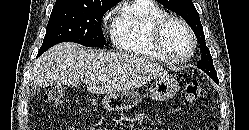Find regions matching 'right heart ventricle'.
<instances>
[{
    "label": "right heart ventricle",
    "instance_id": "right-heart-ventricle-1",
    "mask_svg": "<svg viewBox=\"0 0 249 130\" xmlns=\"http://www.w3.org/2000/svg\"><path fill=\"white\" fill-rule=\"evenodd\" d=\"M165 16L167 12L154 0H133L119 11L113 23V45L126 54L163 60L154 47L152 32Z\"/></svg>",
    "mask_w": 249,
    "mask_h": 130
}]
</instances>
